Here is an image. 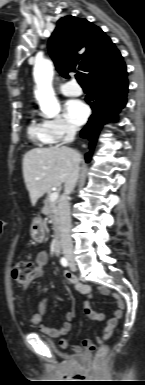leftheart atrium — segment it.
Wrapping results in <instances>:
<instances>
[{"label":"left heart atrium","mask_w":145,"mask_h":385,"mask_svg":"<svg viewBox=\"0 0 145 385\" xmlns=\"http://www.w3.org/2000/svg\"><path fill=\"white\" fill-rule=\"evenodd\" d=\"M65 110L67 119L76 125L83 124L89 115L87 106L78 99L69 100Z\"/></svg>","instance_id":"obj_1"}]
</instances>
